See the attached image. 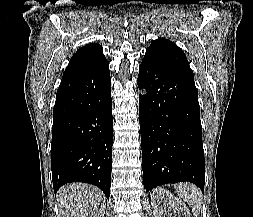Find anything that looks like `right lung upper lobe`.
I'll return each instance as SVG.
<instances>
[{"label":"right lung upper lobe","mask_w":253,"mask_h":217,"mask_svg":"<svg viewBox=\"0 0 253 217\" xmlns=\"http://www.w3.org/2000/svg\"><path fill=\"white\" fill-rule=\"evenodd\" d=\"M106 61L103 49L99 44H88L80 48L73 55L63 74L62 80L89 72Z\"/></svg>","instance_id":"1"}]
</instances>
